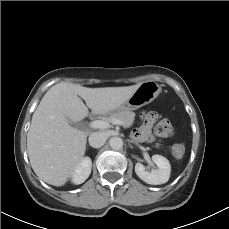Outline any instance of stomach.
Listing matches in <instances>:
<instances>
[{"mask_svg": "<svg viewBox=\"0 0 229 229\" xmlns=\"http://www.w3.org/2000/svg\"><path fill=\"white\" fill-rule=\"evenodd\" d=\"M161 86L153 81L142 82L132 96L115 111H132L152 102L161 93ZM114 111V110H113Z\"/></svg>", "mask_w": 229, "mask_h": 229, "instance_id": "0dacf381", "label": "stomach"}]
</instances>
